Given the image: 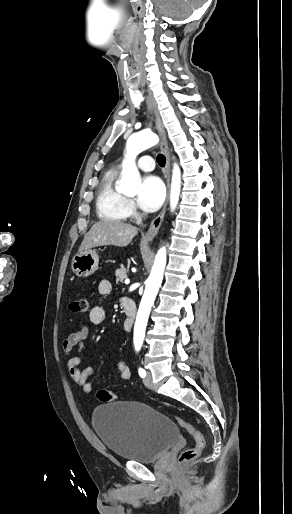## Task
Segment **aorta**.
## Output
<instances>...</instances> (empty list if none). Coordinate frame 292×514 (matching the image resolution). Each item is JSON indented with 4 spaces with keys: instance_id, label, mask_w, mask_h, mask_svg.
I'll list each match as a JSON object with an SVG mask.
<instances>
[{
    "instance_id": "aorta-1",
    "label": "aorta",
    "mask_w": 292,
    "mask_h": 514,
    "mask_svg": "<svg viewBox=\"0 0 292 514\" xmlns=\"http://www.w3.org/2000/svg\"><path fill=\"white\" fill-rule=\"evenodd\" d=\"M158 144V136L153 134L151 130H142L138 134H132L127 140V154L126 164L122 170V178L120 180V188L125 192L126 196H133L137 194L138 182L140 174L135 164V158L138 154H141L143 150H148L152 146ZM181 190V172L179 166L175 164L172 172L171 180V194H170V206L171 210H175L180 196ZM166 266V250L161 248L159 250L152 272L146 280V288L139 306L135 326H134V346L135 348H141L145 336V328L150 314V310L154 304V300L158 294V290L161 286V282L164 276V270Z\"/></svg>"
}]
</instances>
